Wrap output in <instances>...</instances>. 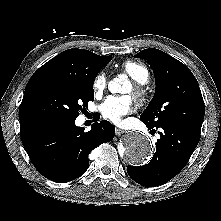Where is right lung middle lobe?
Here are the masks:
<instances>
[{"mask_svg": "<svg viewBox=\"0 0 221 221\" xmlns=\"http://www.w3.org/2000/svg\"><path fill=\"white\" fill-rule=\"evenodd\" d=\"M85 78L49 76L37 80L26 88L20 115H53L76 119L79 111L94 100L93 83L98 72Z\"/></svg>", "mask_w": 221, "mask_h": 221, "instance_id": "1", "label": "right lung middle lobe"}]
</instances>
